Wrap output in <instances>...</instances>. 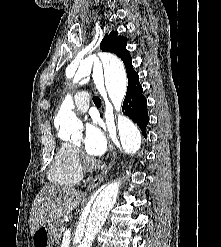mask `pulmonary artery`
<instances>
[{"mask_svg": "<svg viewBox=\"0 0 221 247\" xmlns=\"http://www.w3.org/2000/svg\"><path fill=\"white\" fill-rule=\"evenodd\" d=\"M90 95L85 91H79L75 94L74 104L79 112H86L89 108Z\"/></svg>", "mask_w": 221, "mask_h": 247, "instance_id": "1", "label": "pulmonary artery"}]
</instances>
